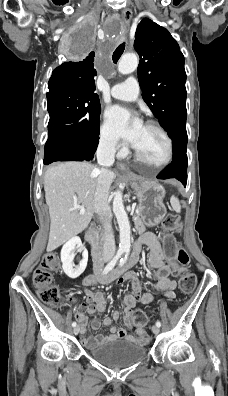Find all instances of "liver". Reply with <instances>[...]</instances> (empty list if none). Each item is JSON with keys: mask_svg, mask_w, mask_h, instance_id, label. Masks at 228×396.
<instances>
[{"mask_svg": "<svg viewBox=\"0 0 228 396\" xmlns=\"http://www.w3.org/2000/svg\"><path fill=\"white\" fill-rule=\"evenodd\" d=\"M98 177V168L87 162H64L47 169L44 175L50 215L47 251H53L88 227L95 211ZM115 177L112 172V180ZM75 204L84 205L85 213L71 210Z\"/></svg>", "mask_w": 228, "mask_h": 396, "instance_id": "1", "label": "liver"}]
</instances>
